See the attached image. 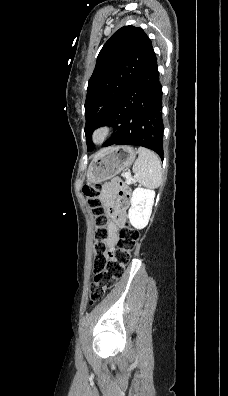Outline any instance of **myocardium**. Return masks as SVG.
<instances>
[{
    "instance_id": "1",
    "label": "myocardium",
    "mask_w": 228,
    "mask_h": 396,
    "mask_svg": "<svg viewBox=\"0 0 228 396\" xmlns=\"http://www.w3.org/2000/svg\"><path fill=\"white\" fill-rule=\"evenodd\" d=\"M111 132H112V129L107 124H101V125L97 126L91 135L92 143L94 145H102L110 137Z\"/></svg>"
}]
</instances>
